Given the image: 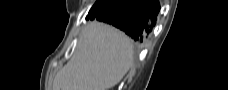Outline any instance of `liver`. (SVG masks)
<instances>
[{
  "label": "liver",
  "instance_id": "6515ba94",
  "mask_svg": "<svg viewBox=\"0 0 228 90\" xmlns=\"http://www.w3.org/2000/svg\"><path fill=\"white\" fill-rule=\"evenodd\" d=\"M133 64V45L119 30L90 23L77 48L55 76L53 90H108L118 84Z\"/></svg>",
  "mask_w": 228,
  "mask_h": 90
}]
</instances>
